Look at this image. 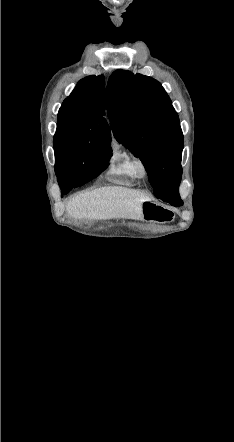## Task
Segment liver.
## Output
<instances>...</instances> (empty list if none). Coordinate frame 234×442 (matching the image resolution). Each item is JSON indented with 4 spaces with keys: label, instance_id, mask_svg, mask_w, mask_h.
<instances>
[{
    "label": "liver",
    "instance_id": "1",
    "mask_svg": "<svg viewBox=\"0 0 234 442\" xmlns=\"http://www.w3.org/2000/svg\"><path fill=\"white\" fill-rule=\"evenodd\" d=\"M150 199L125 187H102L80 193L70 200L66 212L73 218L142 220V203Z\"/></svg>",
    "mask_w": 234,
    "mask_h": 442
}]
</instances>
